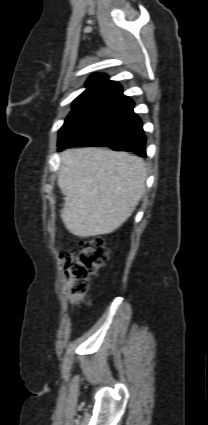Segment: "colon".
I'll return each mask as SVG.
<instances>
[{
    "mask_svg": "<svg viewBox=\"0 0 208 425\" xmlns=\"http://www.w3.org/2000/svg\"><path fill=\"white\" fill-rule=\"evenodd\" d=\"M107 259L108 250L100 237L82 239L75 251L64 254L69 296L81 299L86 293L89 276L95 274Z\"/></svg>",
    "mask_w": 208,
    "mask_h": 425,
    "instance_id": "1",
    "label": "colon"
}]
</instances>
